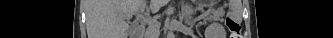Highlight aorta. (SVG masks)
<instances>
[{
	"instance_id": "1",
	"label": "aorta",
	"mask_w": 333,
	"mask_h": 38,
	"mask_svg": "<svg viewBox=\"0 0 333 38\" xmlns=\"http://www.w3.org/2000/svg\"><path fill=\"white\" fill-rule=\"evenodd\" d=\"M167 38H174V32L172 29H169L168 34H167Z\"/></svg>"
}]
</instances>
